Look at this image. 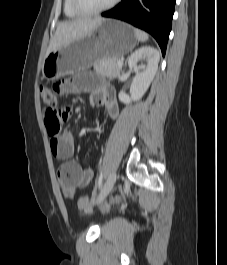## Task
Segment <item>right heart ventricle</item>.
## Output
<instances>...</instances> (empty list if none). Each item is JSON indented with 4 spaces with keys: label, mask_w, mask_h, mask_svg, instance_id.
<instances>
[{
    "label": "right heart ventricle",
    "mask_w": 227,
    "mask_h": 265,
    "mask_svg": "<svg viewBox=\"0 0 227 265\" xmlns=\"http://www.w3.org/2000/svg\"><path fill=\"white\" fill-rule=\"evenodd\" d=\"M64 13L70 18L79 17L81 15L73 9L71 0H64Z\"/></svg>",
    "instance_id": "e07e8e85"
}]
</instances>
